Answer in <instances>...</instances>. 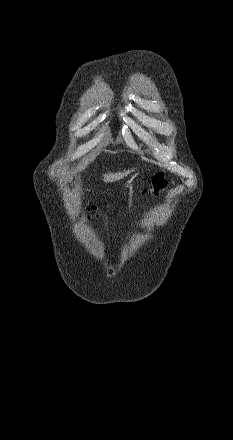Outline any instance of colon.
<instances>
[{"label":"colon","mask_w":233,"mask_h":440,"mask_svg":"<svg viewBox=\"0 0 233 440\" xmlns=\"http://www.w3.org/2000/svg\"><path fill=\"white\" fill-rule=\"evenodd\" d=\"M168 181L161 172L156 173L152 178L151 188L144 190V196H158L167 187Z\"/></svg>","instance_id":"colon-1"}]
</instances>
